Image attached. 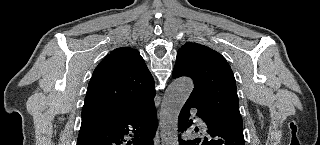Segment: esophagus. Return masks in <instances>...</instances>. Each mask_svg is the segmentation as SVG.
I'll use <instances>...</instances> for the list:
<instances>
[{
  "instance_id": "34e87169",
  "label": "esophagus",
  "mask_w": 320,
  "mask_h": 145,
  "mask_svg": "<svg viewBox=\"0 0 320 145\" xmlns=\"http://www.w3.org/2000/svg\"><path fill=\"white\" fill-rule=\"evenodd\" d=\"M154 143H155V145H159V143H160V137H159L158 133L155 136Z\"/></svg>"
}]
</instances>
